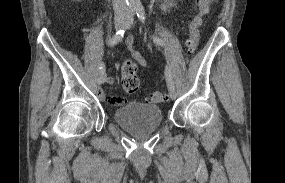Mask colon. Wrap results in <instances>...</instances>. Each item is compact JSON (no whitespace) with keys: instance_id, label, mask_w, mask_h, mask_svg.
<instances>
[{"instance_id":"1","label":"colon","mask_w":285,"mask_h":183,"mask_svg":"<svg viewBox=\"0 0 285 183\" xmlns=\"http://www.w3.org/2000/svg\"><path fill=\"white\" fill-rule=\"evenodd\" d=\"M214 0H196L198 12L192 16L188 24V35L185 41L187 50L192 53L197 48L199 42V28L202 24L203 16L208 12L209 5ZM137 64L131 60H125L121 65V85L125 92L137 94L140 89V79L137 75ZM168 95L163 91H153L149 94L148 100L151 103H162L167 101ZM117 102L116 99H112Z\"/></svg>"}]
</instances>
